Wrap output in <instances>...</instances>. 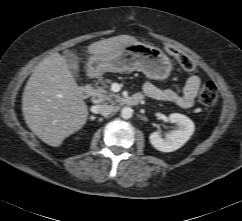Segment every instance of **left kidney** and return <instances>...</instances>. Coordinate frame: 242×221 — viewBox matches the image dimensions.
<instances>
[{
	"instance_id": "obj_1",
	"label": "left kidney",
	"mask_w": 242,
	"mask_h": 221,
	"mask_svg": "<svg viewBox=\"0 0 242 221\" xmlns=\"http://www.w3.org/2000/svg\"><path fill=\"white\" fill-rule=\"evenodd\" d=\"M169 120L177 124V130L166 134V138H162L159 132H153L149 136L152 146L161 152H173L181 148L195 131L193 121L183 114L172 113L169 115Z\"/></svg>"
}]
</instances>
